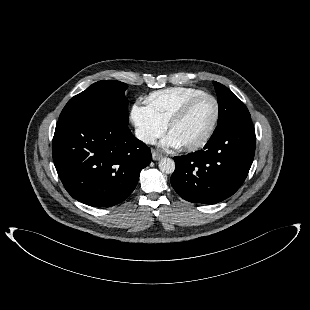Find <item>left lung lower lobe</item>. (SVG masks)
Segmentation results:
<instances>
[{
	"instance_id": "1",
	"label": "left lung lower lobe",
	"mask_w": 310,
	"mask_h": 310,
	"mask_svg": "<svg viewBox=\"0 0 310 310\" xmlns=\"http://www.w3.org/2000/svg\"><path fill=\"white\" fill-rule=\"evenodd\" d=\"M255 144L251 119L211 136L204 149L174 157L173 188L189 202L215 204L225 200L247 177Z\"/></svg>"
}]
</instances>
